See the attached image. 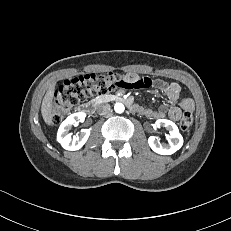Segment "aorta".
I'll return each mask as SVG.
<instances>
[{
  "mask_svg": "<svg viewBox=\"0 0 231 231\" xmlns=\"http://www.w3.org/2000/svg\"><path fill=\"white\" fill-rule=\"evenodd\" d=\"M114 110L116 113H123L124 110H125V107L122 103H116L115 106H114Z\"/></svg>",
  "mask_w": 231,
  "mask_h": 231,
  "instance_id": "1",
  "label": "aorta"
}]
</instances>
